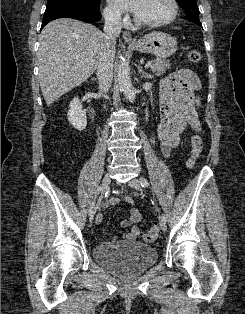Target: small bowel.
<instances>
[{"instance_id":"c3829d8e","label":"small bowel","mask_w":245,"mask_h":314,"mask_svg":"<svg viewBox=\"0 0 245 314\" xmlns=\"http://www.w3.org/2000/svg\"><path fill=\"white\" fill-rule=\"evenodd\" d=\"M201 83L190 69H180L165 78L160 91V122L157 139L163 156L168 159L180 144V136L186 128L200 131L198 116L199 97L197 91ZM124 201L131 205L129 218L121 221L123 228H129L124 235L126 241H135L140 236L136 225L142 219L140 208L136 207L129 196ZM100 219V215L98 216Z\"/></svg>"}]
</instances>
